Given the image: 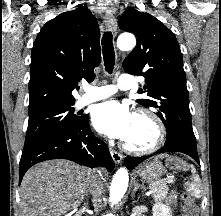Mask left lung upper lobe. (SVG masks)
Wrapping results in <instances>:
<instances>
[{
    "mask_svg": "<svg viewBox=\"0 0 221 216\" xmlns=\"http://www.w3.org/2000/svg\"><path fill=\"white\" fill-rule=\"evenodd\" d=\"M119 27L137 37V45L123 67L127 73L145 78L146 85L139 93H147L152 99H140L138 103L153 109L163 121L166 141L196 143L182 53L175 35L152 15L134 8L123 13Z\"/></svg>",
    "mask_w": 221,
    "mask_h": 216,
    "instance_id": "obj_1",
    "label": "left lung upper lobe"
}]
</instances>
